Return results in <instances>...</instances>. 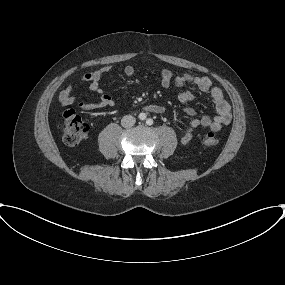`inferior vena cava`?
Listing matches in <instances>:
<instances>
[{
  "label": "inferior vena cava",
  "mask_w": 285,
  "mask_h": 285,
  "mask_svg": "<svg viewBox=\"0 0 285 285\" xmlns=\"http://www.w3.org/2000/svg\"><path fill=\"white\" fill-rule=\"evenodd\" d=\"M136 122V119L131 115H125L121 120V125L124 128L132 127Z\"/></svg>",
  "instance_id": "1"
}]
</instances>
